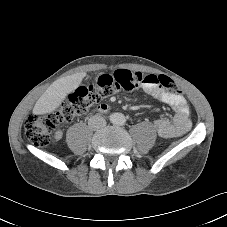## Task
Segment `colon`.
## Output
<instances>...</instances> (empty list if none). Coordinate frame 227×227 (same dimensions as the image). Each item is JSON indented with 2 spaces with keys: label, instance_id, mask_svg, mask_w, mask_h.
Instances as JSON below:
<instances>
[{
  "label": "colon",
  "instance_id": "obj_1",
  "mask_svg": "<svg viewBox=\"0 0 227 227\" xmlns=\"http://www.w3.org/2000/svg\"><path fill=\"white\" fill-rule=\"evenodd\" d=\"M146 84H157L169 92H178L176 84L164 75H144L125 69L102 74L93 84L76 89L57 110L29 115L24 123L26 135L34 145L46 146L58 125L83 115L94 104L120 91L138 90Z\"/></svg>",
  "mask_w": 227,
  "mask_h": 227
}]
</instances>
